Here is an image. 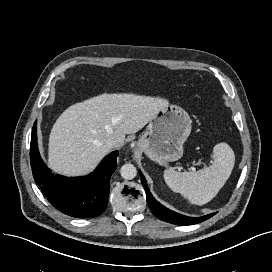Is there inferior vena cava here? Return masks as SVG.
I'll return each instance as SVG.
<instances>
[{"instance_id":"602c4592","label":"inferior vena cava","mask_w":272,"mask_h":272,"mask_svg":"<svg viewBox=\"0 0 272 272\" xmlns=\"http://www.w3.org/2000/svg\"><path fill=\"white\" fill-rule=\"evenodd\" d=\"M105 145L107 148L112 149L114 147H118L120 144L115 137L111 136L105 141Z\"/></svg>"}]
</instances>
